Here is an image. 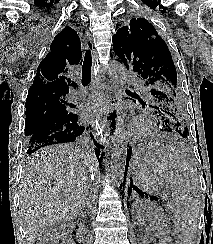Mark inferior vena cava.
<instances>
[{
	"label": "inferior vena cava",
	"instance_id": "obj_1",
	"mask_svg": "<svg viewBox=\"0 0 213 244\" xmlns=\"http://www.w3.org/2000/svg\"><path fill=\"white\" fill-rule=\"evenodd\" d=\"M84 141L85 142H88L89 141V138L88 137H85L84 138ZM85 151L87 152V154H91V149L89 147H87L85 149ZM91 175H90V180L91 181H94L95 180V176H96V173H97V170L96 169H91ZM96 181L94 183L91 184V186H87V191L85 193V198H84V201L82 203L83 207L86 209V211L91 208V206L93 205L94 203V195H93V191L92 189L96 187Z\"/></svg>",
	"mask_w": 213,
	"mask_h": 244
}]
</instances>
